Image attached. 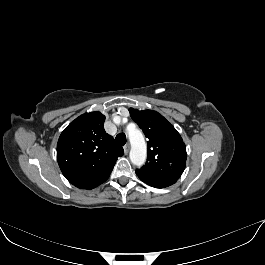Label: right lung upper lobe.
<instances>
[{
  "label": "right lung upper lobe",
  "instance_id": "1",
  "mask_svg": "<svg viewBox=\"0 0 265 265\" xmlns=\"http://www.w3.org/2000/svg\"><path fill=\"white\" fill-rule=\"evenodd\" d=\"M105 116L85 113L72 121L57 143V161L65 178L80 189L105 182L123 148L104 130Z\"/></svg>",
  "mask_w": 265,
  "mask_h": 265
}]
</instances>
